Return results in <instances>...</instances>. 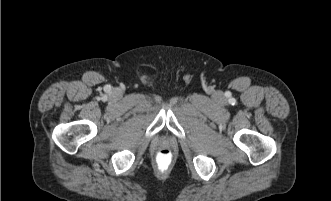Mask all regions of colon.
Wrapping results in <instances>:
<instances>
[{
	"mask_svg": "<svg viewBox=\"0 0 331 201\" xmlns=\"http://www.w3.org/2000/svg\"><path fill=\"white\" fill-rule=\"evenodd\" d=\"M154 162L159 172L166 173L174 166V155L169 148H161L157 150Z\"/></svg>",
	"mask_w": 331,
	"mask_h": 201,
	"instance_id": "1",
	"label": "colon"
}]
</instances>
